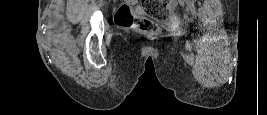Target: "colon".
I'll use <instances>...</instances> for the list:
<instances>
[{"mask_svg": "<svg viewBox=\"0 0 267 115\" xmlns=\"http://www.w3.org/2000/svg\"><path fill=\"white\" fill-rule=\"evenodd\" d=\"M142 2L146 13L157 22L136 15L130 3H124L119 7L116 21L120 26H135L143 34L156 35L160 31L158 22L168 19L170 6L174 0H143Z\"/></svg>", "mask_w": 267, "mask_h": 115, "instance_id": "obj_1", "label": "colon"}]
</instances>
